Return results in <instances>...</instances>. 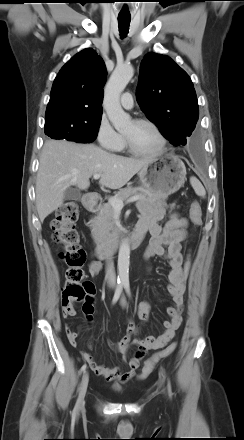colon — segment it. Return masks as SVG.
Wrapping results in <instances>:
<instances>
[{
  "label": "colon",
  "instance_id": "5ec220e1",
  "mask_svg": "<svg viewBox=\"0 0 244 440\" xmlns=\"http://www.w3.org/2000/svg\"><path fill=\"white\" fill-rule=\"evenodd\" d=\"M79 207L77 203L71 201L64 203L57 210L50 223L52 239L62 246L61 258L67 265L65 281L62 289V310L63 315L74 316L75 306L83 304V309H91L93 306L94 286L91 282L84 279L83 265L86 261V252L80 247V236L75 228L78 218ZM190 219L195 226L202 223V209L197 201H193L190 206ZM183 279L187 281L191 269L190 253L186 254L183 262ZM177 344L171 343L166 348L153 354L144 364L139 380L146 379L154 370L156 364L162 359L171 355ZM147 348L139 347L135 354L143 358L147 353Z\"/></svg>",
  "mask_w": 244,
  "mask_h": 440
}]
</instances>
